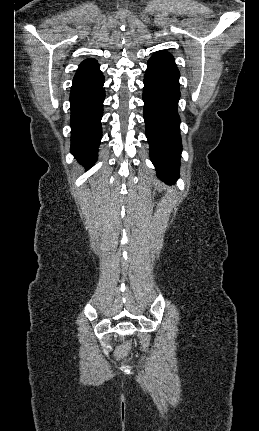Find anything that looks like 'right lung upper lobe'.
Masks as SVG:
<instances>
[{"mask_svg": "<svg viewBox=\"0 0 259 431\" xmlns=\"http://www.w3.org/2000/svg\"><path fill=\"white\" fill-rule=\"evenodd\" d=\"M96 63H97V61H96L95 59H91V58H89V59L84 60V61L80 64L79 68H80V67H85V66L94 65V64H96Z\"/></svg>", "mask_w": 259, "mask_h": 431, "instance_id": "1", "label": "right lung upper lobe"}]
</instances>
